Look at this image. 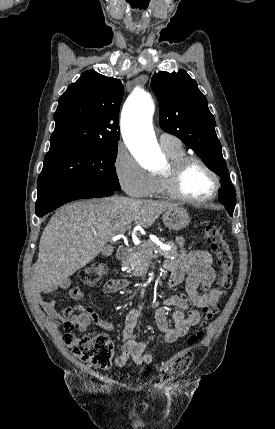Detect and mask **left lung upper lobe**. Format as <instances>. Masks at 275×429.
<instances>
[{
	"label": "left lung upper lobe",
	"mask_w": 275,
	"mask_h": 429,
	"mask_svg": "<svg viewBox=\"0 0 275 429\" xmlns=\"http://www.w3.org/2000/svg\"><path fill=\"white\" fill-rule=\"evenodd\" d=\"M151 87L160 103L161 128L193 149L220 177L227 194L219 200L232 216L236 205L235 188L230 183L221 143L215 132V118L196 81L181 69L154 74Z\"/></svg>",
	"instance_id": "obj_1"
}]
</instances>
